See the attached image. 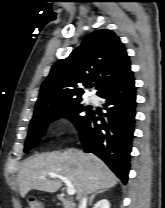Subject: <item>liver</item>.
<instances>
[{
  "label": "liver",
  "mask_w": 165,
  "mask_h": 208,
  "mask_svg": "<svg viewBox=\"0 0 165 208\" xmlns=\"http://www.w3.org/2000/svg\"><path fill=\"white\" fill-rule=\"evenodd\" d=\"M55 173L68 178L74 186L77 199L98 190L114 187L118 183L116 175L106 164L90 153L69 148L53 153H42L24 161L18 173L21 197L32 190L54 193L62 186L61 179L51 178Z\"/></svg>",
  "instance_id": "obj_1"
}]
</instances>
